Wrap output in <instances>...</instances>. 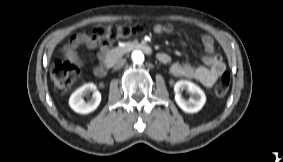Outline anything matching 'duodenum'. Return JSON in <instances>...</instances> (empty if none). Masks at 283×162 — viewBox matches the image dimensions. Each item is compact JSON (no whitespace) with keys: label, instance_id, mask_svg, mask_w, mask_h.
<instances>
[{"label":"duodenum","instance_id":"1","mask_svg":"<svg viewBox=\"0 0 283 162\" xmlns=\"http://www.w3.org/2000/svg\"><path fill=\"white\" fill-rule=\"evenodd\" d=\"M111 50V55L107 58L105 65L107 66L108 69L112 68L114 65V62L123 56L124 54L131 52L133 50H141L145 53H151L152 49L151 47L141 41H129L125 42L119 46H116Z\"/></svg>","mask_w":283,"mask_h":162}]
</instances>
